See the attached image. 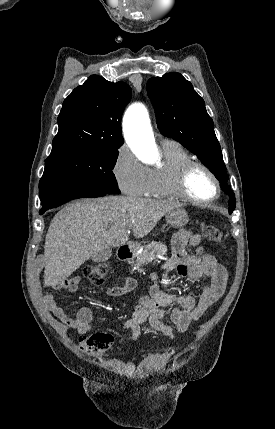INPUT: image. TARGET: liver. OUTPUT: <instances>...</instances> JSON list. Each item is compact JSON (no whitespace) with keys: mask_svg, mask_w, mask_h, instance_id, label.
I'll list each match as a JSON object with an SVG mask.
<instances>
[{"mask_svg":"<svg viewBox=\"0 0 275 429\" xmlns=\"http://www.w3.org/2000/svg\"><path fill=\"white\" fill-rule=\"evenodd\" d=\"M181 205L166 200L106 196L63 207L52 219L44 246V285H61L82 264L105 248L148 235L161 218Z\"/></svg>","mask_w":275,"mask_h":429,"instance_id":"obj_1","label":"liver"}]
</instances>
